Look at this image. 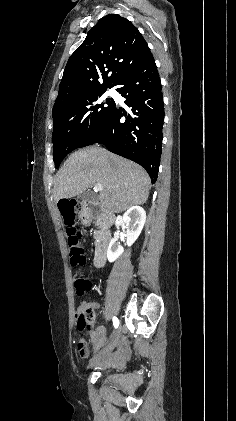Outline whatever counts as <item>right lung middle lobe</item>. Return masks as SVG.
I'll return each instance as SVG.
<instances>
[{
	"instance_id": "right-lung-middle-lobe-1",
	"label": "right lung middle lobe",
	"mask_w": 236,
	"mask_h": 421,
	"mask_svg": "<svg viewBox=\"0 0 236 421\" xmlns=\"http://www.w3.org/2000/svg\"><path fill=\"white\" fill-rule=\"evenodd\" d=\"M105 91L74 98L53 110L55 168L103 124L115 106L113 99L103 100Z\"/></svg>"
}]
</instances>
